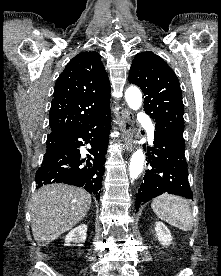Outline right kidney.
Segmentation results:
<instances>
[{
  "label": "right kidney",
  "mask_w": 221,
  "mask_h": 276,
  "mask_svg": "<svg viewBox=\"0 0 221 276\" xmlns=\"http://www.w3.org/2000/svg\"><path fill=\"white\" fill-rule=\"evenodd\" d=\"M87 225L82 224L72 229L65 238V246H71V243H75L78 246H82L86 240Z\"/></svg>",
  "instance_id": "1"
}]
</instances>
